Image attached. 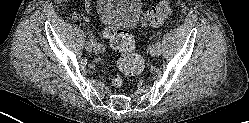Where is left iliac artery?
<instances>
[{"label":"left iliac artery","mask_w":249,"mask_h":123,"mask_svg":"<svg viewBox=\"0 0 249 123\" xmlns=\"http://www.w3.org/2000/svg\"><path fill=\"white\" fill-rule=\"evenodd\" d=\"M160 35L158 36V40L156 42V46H157V56H159L161 54V43H160Z\"/></svg>","instance_id":"obj_1"}]
</instances>
